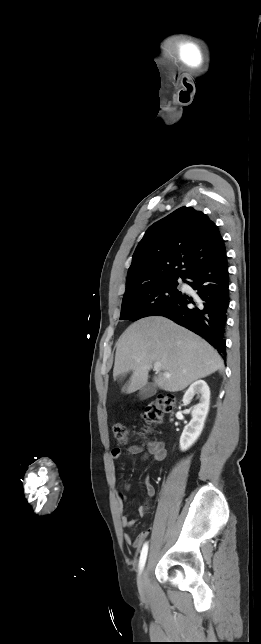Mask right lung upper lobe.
<instances>
[{
    "label": "right lung upper lobe",
    "instance_id": "right-lung-upper-lobe-1",
    "mask_svg": "<svg viewBox=\"0 0 261 644\" xmlns=\"http://www.w3.org/2000/svg\"><path fill=\"white\" fill-rule=\"evenodd\" d=\"M226 256L218 227L207 215L181 207L148 228L129 267L126 289L212 265Z\"/></svg>",
    "mask_w": 261,
    "mask_h": 644
}]
</instances>
